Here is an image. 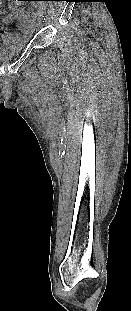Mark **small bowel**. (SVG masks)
<instances>
[{
    "label": "small bowel",
    "instance_id": "small-bowel-1",
    "mask_svg": "<svg viewBox=\"0 0 131 311\" xmlns=\"http://www.w3.org/2000/svg\"><path fill=\"white\" fill-rule=\"evenodd\" d=\"M3 29H2V26H1V24H0V33H4V35L6 36L7 35V33L5 32V31H2Z\"/></svg>",
    "mask_w": 131,
    "mask_h": 311
}]
</instances>
